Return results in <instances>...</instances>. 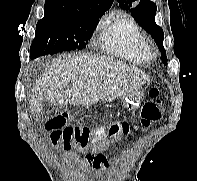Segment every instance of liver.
<instances>
[{"mask_svg":"<svg viewBox=\"0 0 197 181\" xmlns=\"http://www.w3.org/2000/svg\"><path fill=\"white\" fill-rule=\"evenodd\" d=\"M150 80L142 70L110 57L90 54L61 55L37 81L31 97V111L40 112L44 101L54 106L89 108L111 102L138 89ZM72 87L65 90V86Z\"/></svg>","mask_w":197,"mask_h":181,"instance_id":"6515ba94","label":"liver"}]
</instances>
